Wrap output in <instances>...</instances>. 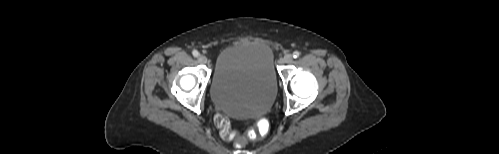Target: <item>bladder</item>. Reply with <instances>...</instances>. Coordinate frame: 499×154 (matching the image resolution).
<instances>
[{
	"label": "bladder",
	"instance_id": "1",
	"mask_svg": "<svg viewBox=\"0 0 499 154\" xmlns=\"http://www.w3.org/2000/svg\"><path fill=\"white\" fill-rule=\"evenodd\" d=\"M277 92L274 54L264 42H241L224 48L216 59L211 100L235 117L265 113Z\"/></svg>",
	"mask_w": 499,
	"mask_h": 154
}]
</instances>
